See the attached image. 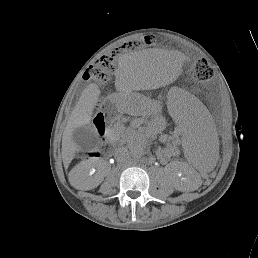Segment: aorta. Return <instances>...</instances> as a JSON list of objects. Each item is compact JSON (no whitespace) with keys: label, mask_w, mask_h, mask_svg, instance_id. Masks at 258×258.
I'll return each mask as SVG.
<instances>
[{"label":"aorta","mask_w":258,"mask_h":258,"mask_svg":"<svg viewBox=\"0 0 258 258\" xmlns=\"http://www.w3.org/2000/svg\"><path fill=\"white\" fill-rule=\"evenodd\" d=\"M132 155L134 158L139 159L142 156V152L139 150H133Z\"/></svg>","instance_id":"aorta-1"}]
</instances>
